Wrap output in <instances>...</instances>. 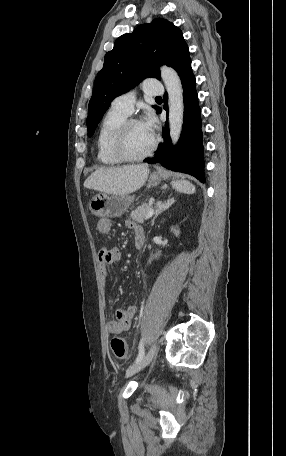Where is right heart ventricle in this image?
<instances>
[{
  "label": "right heart ventricle",
  "mask_w": 286,
  "mask_h": 456,
  "mask_svg": "<svg viewBox=\"0 0 286 456\" xmlns=\"http://www.w3.org/2000/svg\"><path fill=\"white\" fill-rule=\"evenodd\" d=\"M127 117L112 107L104 116L96 139L97 159L101 164L114 166L121 163L112 151V140L117 128Z\"/></svg>",
  "instance_id": "1"
}]
</instances>
